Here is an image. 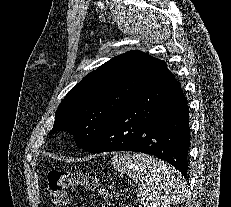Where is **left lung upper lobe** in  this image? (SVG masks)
<instances>
[{
	"label": "left lung upper lobe",
	"mask_w": 231,
	"mask_h": 207,
	"mask_svg": "<svg viewBox=\"0 0 231 207\" xmlns=\"http://www.w3.org/2000/svg\"><path fill=\"white\" fill-rule=\"evenodd\" d=\"M158 61L130 51L89 73L60 103L49 134L67 131L79 148L87 150L111 119L144 88Z\"/></svg>",
	"instance_id": "left-lung-upper-lobe-1"
}]
</instances>
